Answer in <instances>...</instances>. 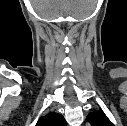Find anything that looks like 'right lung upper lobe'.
<instances>
[{
    "label": "right lung upper lobe",
    "instance_id": "right-lung-upper-lobe-1",
    "mask_svg": "<svg viewBox=\"0 0 127 126\" xmlns=\"http://www.w3.org/2000/svg\"><path fill=\"white\" fill-rule=\"evenodd\" d=\"M66 121L63 115L58 113H49L41 117L35 126H65Z\"/></svg>",
    "mask_w": 127,
    "mask_h": 126
}]
</instances>
